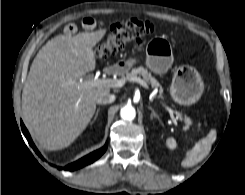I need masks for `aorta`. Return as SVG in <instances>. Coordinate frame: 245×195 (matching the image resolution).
I'll list each match as a JSON object with an SVG mask.
<instances>
[{"mask_svg": "<svg viewBox=\"0 0 245 195\" xmlns=\"http://www.w3.org/2000/svg\"><path fill=\"white\" fill-rule=\"evenodd\" d=\"M120 115L122 119L131 121L135 118L136 111L133 106L126 105L123 108H121Z\"/></svg>", "mask_w": 245, "mask_h": 195, "instance_id": "762f6f07", "label": "aorta"}]
</instances>
